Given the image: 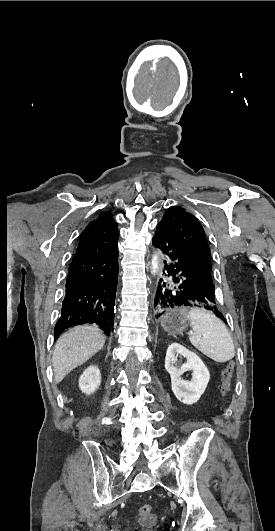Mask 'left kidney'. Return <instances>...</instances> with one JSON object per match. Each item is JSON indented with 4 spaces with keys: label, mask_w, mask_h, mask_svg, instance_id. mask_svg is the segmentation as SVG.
<instances>
[{
    "label": "left kidney",
    "mask_w": 275,
    "mask_h": 531,
    "mask_svg": "<svg viewBox=\"0 0 275 531\" xmlns=\"http://www.w3.org/2000/svg\"><path fill=\"white\" fill-rule=\"evenodd\" d=\"M175 355H183L187 359V363L182 365L181 369L174 367V363L177 361ZM165 369L171 375V389L176 399L184 403V405L197 403L210 379L209 371L203 361L195 353L188 351L179 343H172L166 351ZM185 371H193L191 381H183L181 379V375Z\"/></svg>",
    "instance_id": "left-kidney-1"
}]
</instances>
